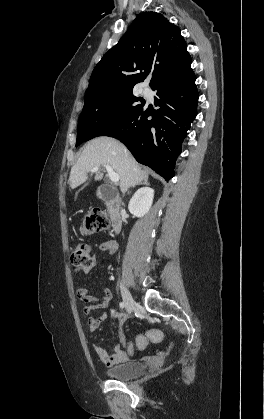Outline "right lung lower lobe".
<instances>
[{
  "label": "right lung lower lobe",
  "instance_id": "right-lung-lower-lobe-1",
  "mask_svg": "<svg viewBox=\"0 0 264 419\" xmlns=\"http://www.w3.org/2000/svg\"><path fill=\"white\" fill-rule=\"evenodd\" d=\"M195 80L192 71L158 82L151 88L156 91L159 109L144 104L104 136L119 139L139 163L170 180L183 139L197 115Z\"/></svg>",
  "mask_w": 264,
  "mask_h": 419
}]
</instances>
